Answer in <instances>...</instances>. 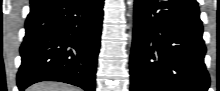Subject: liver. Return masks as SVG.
I'll use <instances>...</instances> for the list:
<instances>
[{"label":"liver","instance_id":"obj_1","mask_svg":"<svg viewBox=\"0 0 220 91\" xmlns=\"http://www.w3.org/2000/svg\"><path fill=\"white\" fill-rule=\"evenodd\" d=\"M26 91H80V90L78 88L62 83L42 82L32 85Z\"/></svg>","mask_w":220,"mask_h":91}]
</instances>
